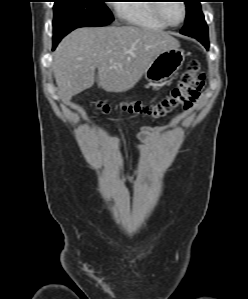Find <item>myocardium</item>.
Here are the masks:
<instances>
[{"label":"myocardium","instance_id":"obj_1","mask_svg":"<svg viewBox=\"0 0 248 299\" xmlns=\"http://www.w3.org/2000/svg\"><path fill=\"white\" fill-rule=\"evenodd\" d=\"M161 2V1H159ZM179 3L181 4V7H182V18L179 22L177 23H172L170 22L166 17L165 15L163 14V11H162V8H163V5L165 3H156L155 5V14L157 16V18L163 23L165 24L166 26H169V27H177L179 26L180 24H182L185 19H186V16H187V7H186V4L184 3V1H179Z\"/></svg>","mask_w":248,"mask_h":299}]
</instances>
